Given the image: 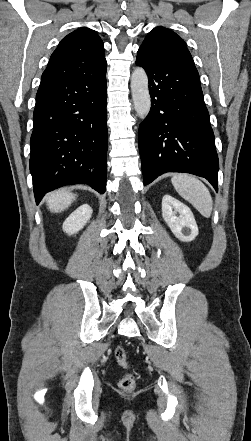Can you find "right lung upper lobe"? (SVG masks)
Here are the masks:
<instances>
[{
	"instance_id": "right-lung-upper-lobe-1",
	"label": "right lung upper lobe",
	"mask_w": 251,
	"mask_h": 441,
	"mask_svg": "<svg viewBox=\"0 0 251 441\" xmlns=\"http://www.w3.org/2000/svg\"><path fill=\"white\" fill-rule=\"evenodd\" d=\"M106 66L102 40L93 30L82 27L62 39L51 55L42 79L80 77Z\"/></svg>"
}]
</instances>
